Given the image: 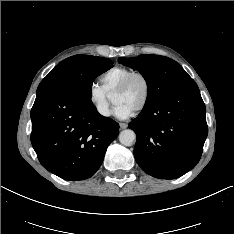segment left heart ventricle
I'll return each mask as SVG.
<instances>
[{"label": "left heart ventricle", "mask_w": 234, "mask_h": 234, "mask_svg": "<svg viewBox=\"0 0 234 234\" xmlns=\"http://www.w3.org/2000/svg\"><path fill=\"white\" fill-rule=\"evenodd\" d=\"M144 95L145 84L141 78H136L124 93L113 96V102L134 112L143 101Z\"/></svg>", "instance_id": "1"}]
</instances>
